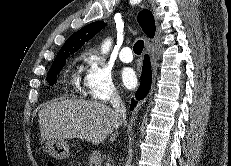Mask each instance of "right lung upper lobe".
<instances>
[{"mask_svg":"<svg viewBox=\"0 0 231 166\" xmlns=\"http://www.w3.org/2000/svg\"><path fill=\"white\" fill-rule=\"evenodd\" d=\"M138 21L146 35L153 38L155 35V22L149 10L139 12ZM107 24L104 21L90 23L72 34L59 50L57 56L73 54L80 49L85 42L89 41L95 34L101 31Z\"/></svg>","mask_w":231,"mask_h":166,"instance_id":"obj_1","label":"right lung upper lobe"}]
</instances>
